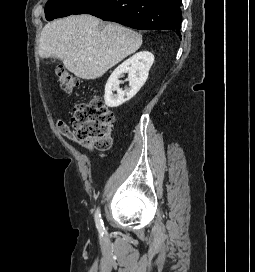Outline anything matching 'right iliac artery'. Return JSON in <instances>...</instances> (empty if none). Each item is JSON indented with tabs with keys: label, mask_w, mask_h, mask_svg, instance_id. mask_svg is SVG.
<instances>
[{
	"label": "right iliac artery",
	"mask_w": 255,
	"mask_h": 272,
	"mask_svg": "<svg viewBox=\"0 0 255 272\" xmlns=\"http://www.w3.org/2000/svg\"><path fill=\"white\" fill-rule=\"evenodd\" d=\"M95 223H96V227H97L98 231L103 233L104 225H103V221H102L99 209H97V211L95 213Z\"/></svg>",
	"instance_id": "1"
}]
</instances>
